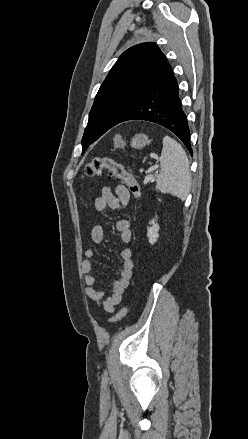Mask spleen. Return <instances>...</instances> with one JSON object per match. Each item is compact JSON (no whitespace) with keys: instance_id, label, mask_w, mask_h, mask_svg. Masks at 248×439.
<instances>
[{"instance_id":"spleen-1","label":"spleen","mask_w":248,"mask_h":439,"mask_svg":"<svg viewBox=\"0 0 248 439\" xmlns=\"http://www.w3.org/2000/svg\"><path fill=\"white\" fill-rule=\"evenodd\" d=\"M160 166L156 189L185 200L191 188L189 161L183 147L169 136L163 138Z\"/></svg>"}]
</instances>
